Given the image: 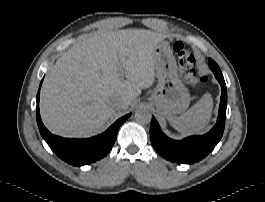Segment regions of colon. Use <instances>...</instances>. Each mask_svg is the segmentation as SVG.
<instances>
[{"mask_svg":"<svg viewBox=\"0 0 265 202\" xmlns=\"http://www.w3.org/2000/svg\"><path fill=\"white\" fill-rule=\"evenodd\" d=\"M174 50L178 56V64L185 80L194 86L205 80V77L199 76L195 70V57L191 50L185 47L182 42L174 44Z\"/></svg>","mask_w":265,"mask_h":202,"instance_id":"1","label":"colon"}]
</instances>
